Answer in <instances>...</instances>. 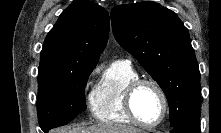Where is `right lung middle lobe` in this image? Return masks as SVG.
Listing matches in <instances>:
<instances>
[{
	"label": "right lung middle lobe",
	"instance_id": "1",
	"mask_svg": "<svg viewBox=\"0 0 221 133\" xmlns=\"http://www.w3.org/2000/svg\"><path fill=\"white\" fill-rule=\"evenodd\" d=\"M95 63L38 72V121L44 133L72 121L86 109L84 89Z\"/></svg>",
	"mask_w": 221,
	"mask_h": 133
}]
</instances>
